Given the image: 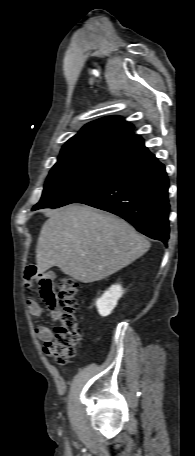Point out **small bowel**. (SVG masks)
Masks as SVG:
<instances>
[{
  "instance_id": "small-bowel-1",
  "label": "small bowel",
  "mask_w": 195,
  "mask_h": 456,
  "mask_svg": "<svg viewBox=\"0 0 195 456\" xmlns=\"http://www.w3.org/2000/svg\"><path fill=\"white\" fill-rule=\"evenodd\" d=\"M25 286L31 288L34 281H37L38 288L43 301L46 303L52 314H57L56 305V294L53 288L52 278L46 274L38 271L34 265H29L25 269L24 274ZM28 310L32 316L39 317L42 315V307L35 300H28ZM36 334L38 338L44 342H48L53 339V331L50 327L40 326L36 328Z\"/></svg>"
}]
</instances>
